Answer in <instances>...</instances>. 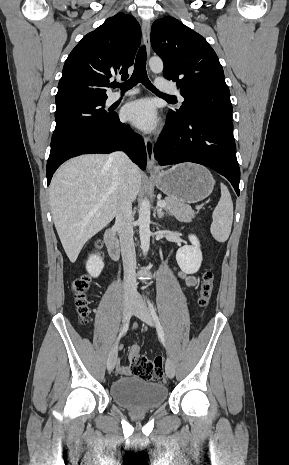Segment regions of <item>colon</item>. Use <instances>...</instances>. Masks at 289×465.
Segmentation results:
<instances>
[{
	"label": "colon",
	"mask_w": 289,
	"mask_h": 465,
	"mask_svg": "<svg viewBox=\"0 0 289 465\" xmlns=\"http://www.w3.org/2000/svg\"><path fill=\"white\" fill-rule=\"evenodd\" d=\"M99 245V244H98ZM90 286V278L81 275L72 282L71 290L75 305L80 317L81 324L87 323L89 315L87 291ZM214 287V273L209 266L202 275L198 304L200 307L208 306ZM131 370L133 373L144 380H159L163 375V360L161 357L150 359L140 353L138 345H133L130 350Z\"/></svg>",
	"instance_id": "obj_1"
}]
</instances>
